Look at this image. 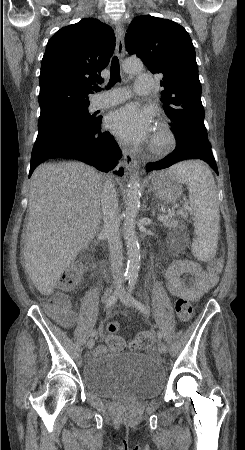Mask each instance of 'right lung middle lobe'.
Masks as SVG:
<instances>
[{
	"label": "right lung middle lobe",
	"instance_id": "1",
	"mask_svg": "<svg viewBox=\"0 0 245 450\" xmlns=\"http://www.w3.org/2000/svg\"><path fill=\"white\" fill-rule=\"evenodd\" d=\"M88 106L62 105L41 110L35 148L70 131L82 130L93 122L95 117L89 114Z\"/></svg>",
	"mask_w": 245,
	"mask_h": 450
}]
</instances>
